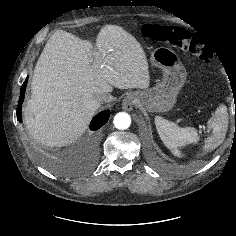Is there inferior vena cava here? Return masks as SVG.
Wrapping results in <instances>:
<instances>
[{
	"label": "inferior vena cava",
	"instance_id": "1",
	"mask_svg": "<svg viewBox=\"0 0 236 236\" xmlns=\"http://www.w3.org/2000/svg\"><path fill=\"white\" fill-rule=\"evenodd\" d=\"M100 99L103 102H111L115 100V97H113L110 93H104L100 96Z\"/></svg>",
	"mask_w": 236,
	"mask_h": 236
}]
</instances>
